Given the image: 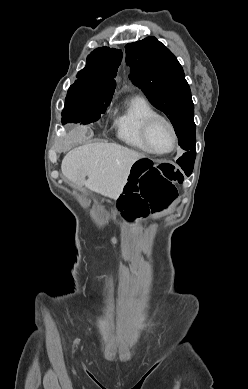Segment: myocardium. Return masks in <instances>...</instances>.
Segmentation results:
<instances>
[{"label": "myocardium", "mask_w": 248, "mask_h": 389, "mask_svg": "<svg viewBox=\"0 0 248 389\" xmlns=\"http://www.w3.org/2000/svg\"><path fill=\"white\" fill-rule=\"evenodd\" d=\"M158 121L163 122L169 128V131H170L172 144H171L170 149L167 151H156L151 147L150 142H149L150 130L153 127V125ZM141 136H142V140H143L147 150L150 153L155 154V155H167V154L171 153L177 145V135H176L174 125L172 124V122L169 119H167L166 117H164L160 114H154L145 120V122L142 126Z\"/></svg>", "instance_id": "1"}]
</instances>
